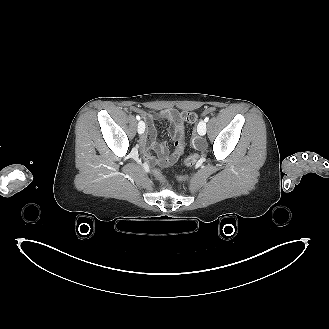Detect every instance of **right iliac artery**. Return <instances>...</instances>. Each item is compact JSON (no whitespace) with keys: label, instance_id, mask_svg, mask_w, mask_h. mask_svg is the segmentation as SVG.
I'll return each mask as SVG.
<instances>
[{"label":"right iliac artery","instance_id":"82829eb1","mask_svg":"<svg viewBox=\"0 0 329 329\" xmlns=\"http://www.w3.org/2000/svg\"><path fill=\"white\" fill-rule=\"evenodd\" d=\"M136 119H137V120H140L141 118H140V116H139V115H137V116H136Z\"/></svg>","mask_w":329,"mask_h":329}]
</instances>
